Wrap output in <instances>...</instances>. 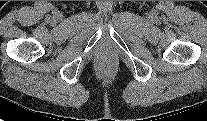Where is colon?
I'll use <instances>...</instances> for the list:
<instances>
[{
    "label": "colon",
    "mask_w": 207,
    "mask_h": 121,
    "mask_svg": "<svg viewBox=\"0 0 207 121\" xmlns=\"http://www.w3.org/2000/svg\"><path fill=\"white\" fill-rule=\"evenodd\" d=\"M100 63L103 67H109L112 63V60L109 56H103Z\"/></svg>",
    "instance_id": "1"
}]
</instances>
